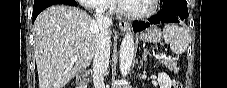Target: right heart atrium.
<instances>
[{"mask_svg":"<svg viewBox=\"0 0 227 88\" xmlns=\"http://www.w3.org/2000/svg\"><path fill=\"white\" fill-rule=\"evenodd\" d=\"M110 0H79L86 10L96 14L104 15L111 12Z\"/></svg>","mask_w":227,"mask_h":88,"instance_id":"obj_1","label":"right heart atrium"}]
</instances>
